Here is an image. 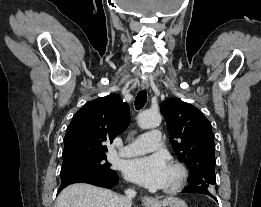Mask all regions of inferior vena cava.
Returning <instances> with one entry per match:
<instances>
[{
	"instance_id": "1",
	"label": "inferior vena cava",
	"mask_w": 261,
	"mask_h": 207,
	"mask_svg": "<svg viewBox=\"0 0 261 207\" xmlns=\"http://www.w3.org/2000/svg\"><path fill=\"white\" fill-rule=\"evenodd\" d=\"M136 196L134 189H128L125 191V196H120L118 201V207H131L132 198Z\"/></svg>"
}]
</instances>
